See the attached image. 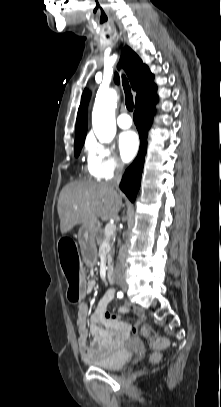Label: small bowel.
Here are the masks:
<instances>
[{
  "label": "small bowel",
  "instance_id": "small-bowel-1",
  "mask_svg": "<svg viewBox=\"0 0 221 407\" xmlns=\"http://www.w3.org/2000/svg\"><path fill=\"white\" fill-rule=\"evenodd\" d=\"M96 288V282L89 280L84 286V297L77 306L78 349L84 360L103 357L117 349L121 343L132 333L138 331L139 325L145 318L144 312L128 304L119 307L117 312L107 310L113 299L114 291L109 289L99 301L92 314L88 313V304L85 296ZM132 312L136 316L134 324L121 319V315ZM92 341L88 343V335Z\"/></svg>",
  "mask_w": 221,
  "mask_h": 407
}]
</instances>
